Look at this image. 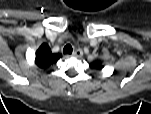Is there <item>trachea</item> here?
Returning a JSON list of instances; mask_svg holds the SVG:
<instances>
[{
    "mask_svg": "<svg viewBox=\"0 0 151 114\" xmlns=\"http://www.w3.org/2000/svg\"><path fill=\"white\" fill-rule=\"evenodd\" d=\"M73 51V48L70 44H67L64 49H63V53L64 54H71Z\"/></svg>",
    "mask_w": 151,
    "mask_h": 114,
    "instance_id": "obj_1",
    "label": "trachea"
}]
</instances>
